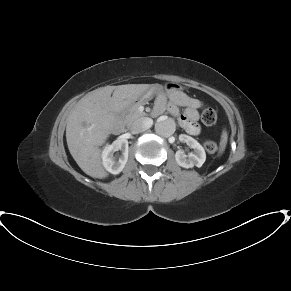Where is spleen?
Masks as SVG:
<instances>
[{
  "label": "spleen",
  "mask_w": 291,
  "mask_h": 291,
  "mask_svg": "<svg viewBox=\"0 0 291 291\" xmlns=\"http://www.w3.org/2000/svg\"><path fill=\"white\" fill-rule=\"evenodd\" d=\"M227 140H228L227 131L223 130L220 140L219 155H222L223 152L225 151Z\"/></svg>",
  "instance_id": "obj_1"
}]
</instances>
